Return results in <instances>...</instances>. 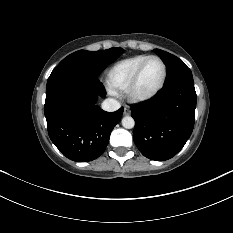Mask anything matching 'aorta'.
Instances as JSON below:
<instances>
[{
    "instance_id": "1",
    "label": "aorta",
    "mask_w": 233,
    "mask_h": 233,
    "mask_svg": "<svg viewBox=\"0 0 233 233\" xmlns=\"http://www.w3.org/2000/svg\"><path fill=\"white\" fill-rule=\"evenodd\" d=\"M135 125V121L131 116H125L122 119V126L126 129H132Z\"/></svg>"
}]
</instances>
